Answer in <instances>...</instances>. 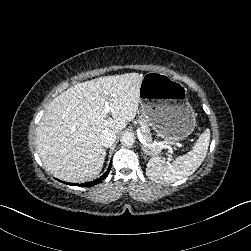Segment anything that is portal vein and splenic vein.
<instances>
[{
    "label": "portal vein and splenic vein",
    "instance_id": "portal-vein-and-splenic-vein-1",
    "mask_svg": "<svg viewBox=\"0 0 251 251\" xmlns=\"http://www.w3.org/2000/svg\"><path fill=\"white\" fill-rule=\"evenodd\" d=\"M111 111V107L109 106L108 102H105L104 105V112L109 113ZM137 137L138 140L146 147L150 148H165L168 150L165 153L164 162L167 165H170L172 163L171 156L175 154V147H179L181 145V142L179 140H164V141H150L149 143L146 142L145 136L141 133V131L137 130Z\"/></svg>",
    "mask_w": 251,
    "mask_h": 251
}]
</instances>
